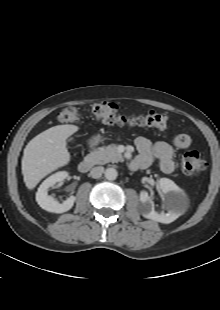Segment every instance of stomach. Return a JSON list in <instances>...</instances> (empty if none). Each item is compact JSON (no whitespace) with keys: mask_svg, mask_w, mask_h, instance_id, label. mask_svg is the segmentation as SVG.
<instances>
[{"mask_svg":"<svg viewBox=\"0 0 220 310\" xmlns=\"http://www.w3.org/2000/svg\"><path fill=\"white\" fill-rule=\"evenodd\" d=\"M99 140H100V138H98V137H97V138H95V141H99Z\"/></svg>","mask_w":220,"mask_h":310,"instance_id":"1","label":"stomach"}]
</instances>
